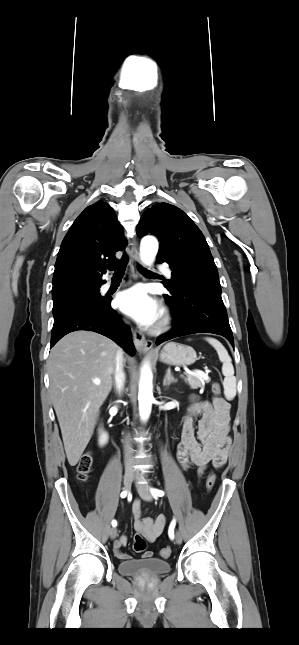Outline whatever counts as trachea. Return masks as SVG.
<instances>
[{
  "mask_svg": "<svg viewBox=\"0 0 299 645\" xmlns=\"http://www.w3.org/2000/svg\"><path fill=\"white\" fill-rule=\"evenodd\" d=\"M127 264V257L124 255L121 260L116 264H111L108 266L110 270H114V276H123L125 272V267ZM142 273L149 274V271L141 268Z\"/></svg>",
  "mask_w": 299,
  "mask_h": 645,
  "instance_id": "trachea-1",
  "label": "trachea"
}]
</instances>
